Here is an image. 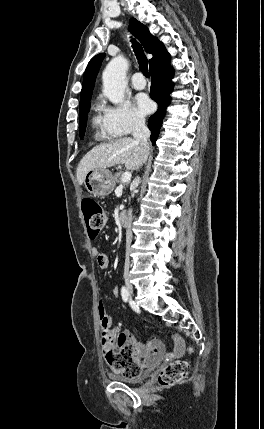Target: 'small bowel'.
<instances>
[{
    "label": "small bowel",
    "instance_id": "1",
    "mask_svg": "<svg viewBox=\"0 0 264 429\" xmlns=\"http://www.w3.org/2000/svg\"><path fill=\"white\" fill-rule=\"evenodd\" d=\"M93 256L96 257L97 262L102 269H106L109 266L108 256L101 252L98 248L92 249ZM114 295H118V288L114 289ZM102 306L103 303L100 302ZM110 324V320H109ZM129 341L133 347L134 355L140 366L142 367H151L165 358H174L179 357L184 353V343L182 339L178 336L174 337L175 348L172 352L167 353L163 343L159 340H152L147 344L138 342L134 337L129 336Z\"/></svg>",
    "mask_w": 264,
    "mask_h": 429
}]
</instances>
